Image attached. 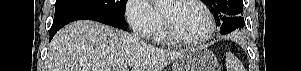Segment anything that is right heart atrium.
<instances>
[{"instance_id": "obj_1", "label": "right heart atrium", "mask_w": 301, "mask_h": 71, "mask_svg": "<svg viewBox=\"0 0 301 71\" xmlns=\"http://www.w3.org/2000/svg\"><path fill=\"white\" fill-rule=\"evenodd\" d=\"M125 15L133 32L142 38H151L162 23L160 13L147 0H129Z\"/></svg>"}]
</instances>
